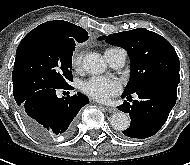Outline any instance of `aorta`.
I'll list each match as a JSON object with an SVG mask.
<instances>
[{
  "label": "aorta",
  "instance_id": "1",
  "mask_svg": "<svg viewBox=\"0 0 190 165\" xmlns=\"http://www.w3.org/2000/svg\"><path fill=\"white\" fill-rule=\"evenodd\" d=\"M84 70L91 75H98L105 71L106 64L97 53H88L83 59ZM111 126L118 131L126 130L130 125V119L124 112H116L111 116Z\"/></svg>",
  "mask_w": 190,
  "mask_h": 165
}]
</instances>
